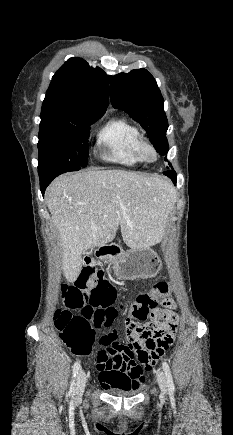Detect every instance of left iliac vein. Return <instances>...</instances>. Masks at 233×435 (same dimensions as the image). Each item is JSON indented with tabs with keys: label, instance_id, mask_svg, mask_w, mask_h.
I'll list each match as a JSON object with an SVG mask.
<instances>
[{
	"label": "left iliac vein",
	"instance_id": "4c4485c4",
	"mask_svg": "<svg viewBox=\"0 0 233 435\" xmlns=\"http://www.w3.org/2000/svg\"><path fill=\"white\" fill-rule=\"evenodd\" d=\"M157 381L162 394L165 395L167 393V382L165 374L161 370L157 372Z\"/></svg>",
	"mask_w": 233,
	"mask_h": 435
}]
</instances>
